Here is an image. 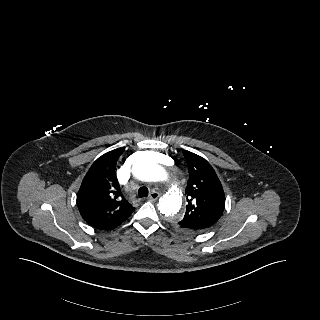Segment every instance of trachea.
Here are the masks:
<instances>
[{"label": "trachea", "mask_w": 320, "mask_h": 320, "mask_svg": "<svg viewBox=\"0 0 320 320\" xmlns=\"http://www.w3.org/2000/svg\"><path fill=\"white\" fill-rule=\"evenodd\" d=\"M149 194V191H148V188L147 187H141L139 190H138V196L140 198H143V197H147Z\"/></svg>", "instance_id": "1"}]
</instances>
